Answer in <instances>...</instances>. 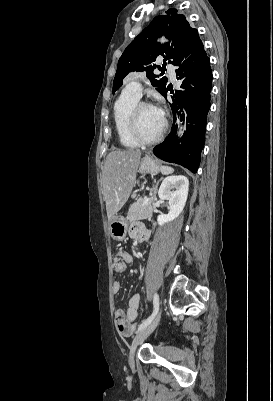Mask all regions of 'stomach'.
I'll list each match as a JSON object with an SVG mask.
<instances>
[{
    "instance_id": "1",
    "label": "stomach",
    "mask_w": 273,
    "mask_h": 401,
    "mask_svg": "<svg viewBox=\"0 0 273 401\" xmlns=\"http://www.w3.org/2000/svg\"><path fill=\"white\" fill-rule=\"evenodd\" d=\"M160 170V162L153 158L151 154H145L143 158H141L139 172L145 174V172H150V174H156ZM109 231L110 237L114 239V241H123L127 235L128 231V223L124 217L121 215H113L109 219Z\"/></svg>"
}]
</instances>
